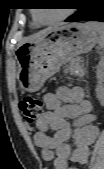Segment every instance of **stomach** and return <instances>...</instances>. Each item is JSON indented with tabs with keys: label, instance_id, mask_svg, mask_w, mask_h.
Listing matches in <instances>:
<instances>
[{
	"label": "stomach",
	"instance_id": "0dacf381",
	"mask_svg": "<svg viewBox=\"0 0 104 169\" xmlns=\"http://www.w3.org/2000/svg\"><path fill=\"white\" fill-rule=\"evenodd\" d=\"M100 40L88 24L54 27L22 44L16 51L17 79L22 90L34 92L72 58L89 52Z\"/></svg>",
	"mask_w": 104,
	"mask_h": 169
}]
</instances>
